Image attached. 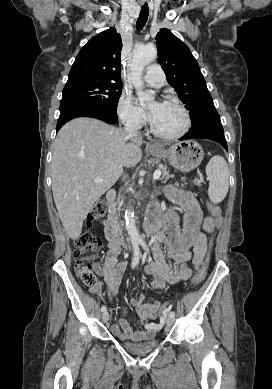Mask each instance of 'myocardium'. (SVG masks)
Segmentation results:
<instances>
[{"label":"myocardium","mask_w":272,"mask_h":389,"mask_svg":"<svg viewBox=\"0 0 272 389\" xmlns=\"http://www.w3.org/2000/svg\"><path fill=\"white\" fill-rule=\"evenodd\" d=\"M162 103L172 105V106L178 108L184 117V125L178 132H176L174 134H165V133H162V132H159L158 130H156L155 127L153 126L151 120H150L151 133L154 136H156L160 139H163V140H176V139L183 137L189 131V129L191 127V116H190L188 109L180 101H178L176 99H172V98H166L162 101Z\"/></svg>","instance_id":"myocardium-1"}]
</instances>
